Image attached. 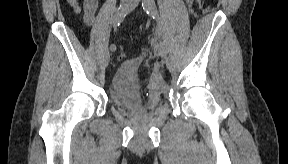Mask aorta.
Returning <instances> with one entry per match:
<instances>
[{
    "label": "aorta",
    "mask_w": 288,
    "mask_h": 164,
    "mask_svg": "<svg viewBox=\"0 0 288 164\" xmlns=\"http://www.w3.org/2000/svg\"><path fill=\"white\" fill-rule=\"evenodd\" d=\"M149 6H151V8H155L154 0H143V8H145V10H149Z\"/></svg>",
    "instance_id": "1"
}]
</instances>
